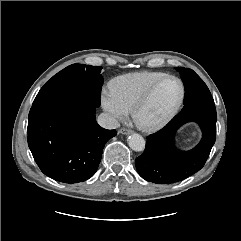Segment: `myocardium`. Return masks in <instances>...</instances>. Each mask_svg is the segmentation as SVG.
I'll return each instance as SVG.
<instances>
[{"label":"myocardium","instance_id":"f54148a6","mask_svg":"<svg viewBox=\"0 0 241 241\" xmlns=\"http://www.w3.org/2000/svg\"><path fill=\"white\" fill-rule=\"evenodd\" d=\"M168 79H174L180 85V96H179L177 102L163 117H161L155 121H150V122L141 120L140 119L141 110L149 102V100L151 99V97H152L153 93L155 92V90L157 89V87L162 82H164L165 80H168ZM184 97H185V86H184L183 81L177 76L165 75V76L159 78L158 80H156L153 84H151L148 87V89L143 93V95L134 104V106L131 110L133 121L139 128H141L143 130H147V131L157 130V129L163 127L164 125H166L177 114V112L179 111V109L184 101Z\"/></svg>","mask_w":241,"mask_h":241}]
</instances>
